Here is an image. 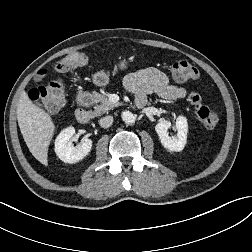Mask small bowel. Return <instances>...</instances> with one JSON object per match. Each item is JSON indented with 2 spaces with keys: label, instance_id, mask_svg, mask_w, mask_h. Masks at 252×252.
Returning a JSON list of instances; mask_svg holds the SVG:
<instances>
[{
  "label": "small bowel",
  "instance_id": "1",
  "mask_svg": "<svg viewBox=\"0 0 252 252\" xmlns=\"http://www.w3.org/2000/svg\"><path fill=\"white\" fill-rule=\"evenodd\" d=\"M124 84L129 91L134 93L138 106H143L151 94L169 100L186 96V90L183 87L172 84L165 73L152 67L128 75Z\"/></svg>",
  "mask_w": 252,
  "mask_h": 252
}]
</instances>
